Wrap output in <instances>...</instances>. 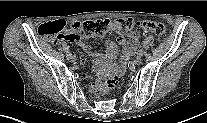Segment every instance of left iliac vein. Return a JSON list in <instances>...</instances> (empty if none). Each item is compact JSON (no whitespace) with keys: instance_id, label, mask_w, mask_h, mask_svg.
<instances>
[{"instance_id":"1","label":"left iliac vein","mask_w":207,"mask_h":123,"mask_svg":"<svg viewBox=\"0 0 207 123\" xmlns=\"http://www.w3.org/2000/svg\"><path fill=\"white\" fill-rule=\"evenodd\" d=\"M141 61H142L141 56H137V57L134 59V64H135V65H139V64H141Z\"/></svg>"}]
</instances>
